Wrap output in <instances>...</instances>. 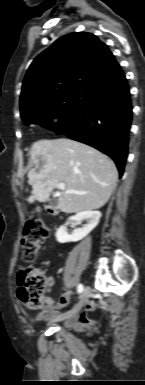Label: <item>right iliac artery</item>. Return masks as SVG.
I'll list each match as a JSON object with an SVG mask.
<instances>
[{
	"instance_id": "1",
	"label": "right iliac artery",
	"mask_w": 145,
	"mask_h": 385,
	"mask_svg": "<svg viewBox=\"0 0 145 385\" xmlns=\"http://www.w3.org/2000/svg\"><path fill=\"white\" fill-rule=\"evenodd\" d=\"M83 289H84L83 285L79 284L78 287H77L78 293H82Z\"/></svg>"
}]
</instances>
